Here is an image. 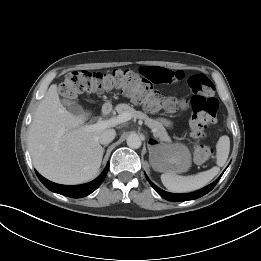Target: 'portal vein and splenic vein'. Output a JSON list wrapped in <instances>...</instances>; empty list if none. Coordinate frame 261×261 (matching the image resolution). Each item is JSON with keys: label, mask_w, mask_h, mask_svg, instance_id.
Segmentation results:
<instances>
[{"label": "portal vein and splenic vein", "mask_w": 261, "mask_h": 261, "mask_svg": "<svg viewBox=\"0 0 261 261\" xmlns=\"http://www.w3.org/2000/svg\"><path fill=\"white\" fill-rule=\"evenodd\" d=\"M132 118L131 114L129 112H123L119 114L116 117H112L108 120H99L95 124L87 125L85 128L87 130H101L106 129L109 127H114L116 125H119L121 123H124Z\"/></svg>", "instance_id": "portal-vein-and-splenic-vein-1"}]
</instances>
